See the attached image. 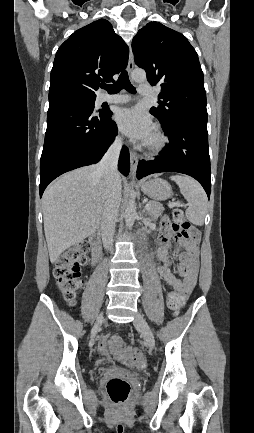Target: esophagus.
Wrapping results in <instances>:
<instances>
[{
    "label": "esophagus",
    "instance_id": "34e87169",
    "mask_svg": "<svg viewBox=\"0 0 254 433\" xmlns=\"http://www.w3.org/2000/svg\"><path fill=\"white\" fill-rule=\"evenodd\" d=\"M134 68V57H133V53H132V49L130 48V52H129V60H128V66H127V70L128 72H132ZM130 165H131V176H135L136 174V169H137V165H138V156L134 151H130Z\"/></svg>",
    "mask_w": 254,
    "mask_h": 433
}]
</instances>
